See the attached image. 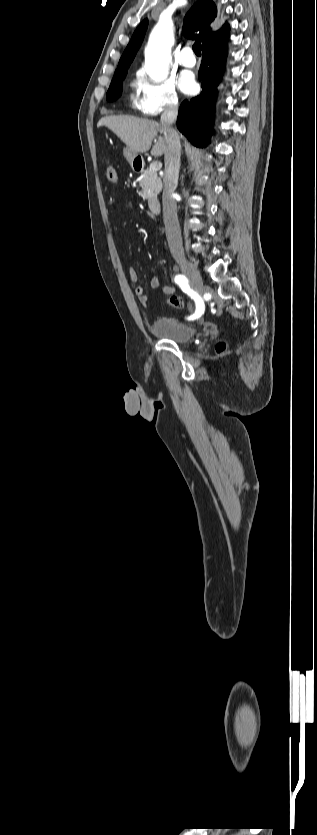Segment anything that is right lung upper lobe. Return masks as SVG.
<instances>
[{
  "instance_id": "cb5924a9",
  "label": "right lung upper lobe",
  "mask_w": 317,
  "mask_h": 835,
  "mask_svg": "<svg viewBox=\"0 0 317 835\" xmlns=\"http://www.w3.org/2000/svg\"><path fill=\"white\" fill-rule=\"evenodd\" d=\"M219 20V12L212 0H198L184 19L183 34L186 37L200 39L202 45L228 34L229 27L224 25L219 31H214ZM148 20L145 19L135 30L118 64L117 70L128 68L138 51L146 29Z\"/></svg>"
}]
</instances>
